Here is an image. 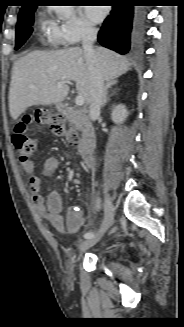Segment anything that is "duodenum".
Returning <instances> with one entry per match:
<instances>
[{"instance_id":"duodenum-1","label":"duodenum","mask_w":184,"mask_h":327,"mask_svg":"<svg viewBox=\"0 0 184 327\" xmlns=\"http://www.w3.org/2000/svg\"><path fill=\"white\" fill-rule=\"evenodd\" d=\"M60 112L65 117L74 119L77 122L81 131V140L78 146V153L82 161L86 165H89L93 160L96 146V136L88 113L85 110L74 109L67 104L60 106Z\"/></svg>"}]
</instances>
